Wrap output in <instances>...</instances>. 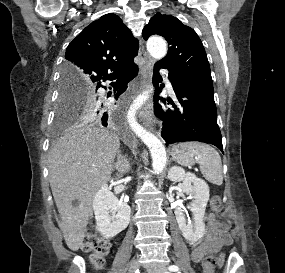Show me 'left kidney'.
Wrapping results in <instances>:
<instances>
[{
  "mask_svg": "<svg viewBox=\"0 0 285 273\" xmlns=\"http://www.w3.org/2000/svg\"><path fill=\"white\" fill-rule=\"evenodd\" d=\"M168 178L173 182L182 181L183 191L192 195L193 200L190 204V211L192 212L193 222H187L181 208L175 209V216L183 237L192 244L196 243L203 237L205 232L203 220L210 196L209 187L203 180L192 173L185 172L179 166H173L169 169Z\"/></svg>",
  "mask_w": 285,
  "mask_h": 273,
  "instance_id": "1",
  "label": "left kidney"
}]
</instances>
